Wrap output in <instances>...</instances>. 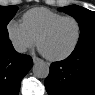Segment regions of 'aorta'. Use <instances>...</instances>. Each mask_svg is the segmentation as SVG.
Segmentation results:
<instances>
[{"mask_svg": "<svg viewBox=\"0 0 95 95\" xmlns=\"http://www.w3.org/2000/svg\"><path fill=\"white\" fill-rule=\"evenodd\" d=\"M33 74L37 78H47L50 72L49 65L44 61H38L33 65Z\"/></svg>", "mask_w": 95, "mask_h": 95, "instance_id": "aorta-1", "label": "aorta"}]
</instances>
